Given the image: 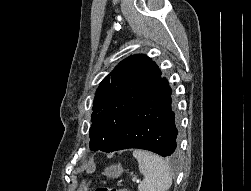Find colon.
Masks as SVG:
<instances>
[{"instance_id": "5ec220e1", "label": "colon", "mask_w": 251, "mask_h": 191, "mask_svg": "<svg viewBox=\"0 0 251 191\" xmlns=\"http://www.w3.org/2000/svg\"><path fill=\"white\" fill-rule=\"evenodd\" d=\"M96 191H120L118 188L104 186V187H98Z\"/></svg>"}]
</instances>
